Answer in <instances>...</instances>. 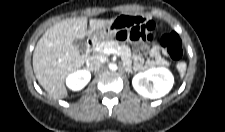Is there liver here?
<instances>
[{"label": "liver", "instance_id": "liver-1", "mask_svg": "<svg viewBox=\"0 0 225 132\" xmlns=\"http://www.w3.org/2000/svg\"><path fill=\"white\" fill-rule=\"evenodd\" d=\"M115 19L70 18L50 27L36 44L33 53V70L39 84L53 98L67 96L66 78L81 68L87 56L75 48V39L91 37L92 33L113 24Z\"/></svg>", "mask_w": 225, "mask_h": 132}]
</instances>
